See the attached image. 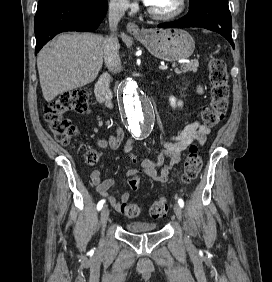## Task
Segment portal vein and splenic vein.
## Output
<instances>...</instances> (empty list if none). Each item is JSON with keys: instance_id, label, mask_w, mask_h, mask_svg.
Segmentation results:
<instances>
[{"instance_id": "portal-vein-and-splenic-vein-1", "label": "portal vein and splenic vein", "mask_w": 272, "mask_h": 282, "mask_svg": "<svg viewBox=\"0 0 272 282\" xmlns=\"http://www.w3.org/2000/svg\"><path fill=\"white\" fill-rule=\"evenodd\" d=\"M159 69L160 70H167L168 66L167 65H161V66H159Z\"/></svg>"}]
</instances>
